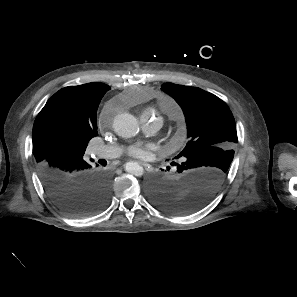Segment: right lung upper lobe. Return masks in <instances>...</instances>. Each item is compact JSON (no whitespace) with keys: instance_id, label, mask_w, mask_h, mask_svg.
Wrapping results in <instances>:
<instances>
[{"instance_id":"obj_1","label":"right lung upper lobe","mask_w":297,"mask_h":297,"mask_svg":"<svg viewBox=\"0 0 297 297\" xmlns=\"http://www.w3.org/2000/svg\"><path fill=\"white\" fill-rule=\"evenodd\" d=\"M110 87L88 83L65 87L45 104L33 126V153L37 166L52 156L84 155L97 133V109Z\"/></svg>"}]
</instances>
